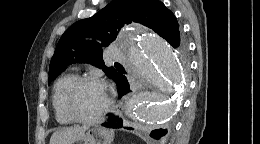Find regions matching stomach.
Here are the masks:
<instances>
[{"instance_id": "1", "label": "stomach", "mask_w": 260, "mask_h": 144, "mask_svg": "<svg viewBox=\"0 0 260 144\" xmlns=\"http://www.w3.org/2000/svg\"><path fill=\"white\" fill-rule=\"evenodd\" d=\"M114 139V131L102 127L89 129L71 144H111Z\"/></svg>"}]
</instances>
